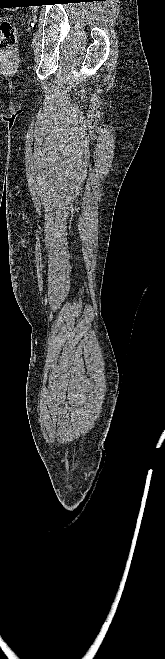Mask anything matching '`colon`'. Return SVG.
Masks as SVG:
<instances>
[{
    "label": "colon",
    "mask_w": 165,
    "mask_h": 659,
    "mask_svg": "<svg viewBox=\"0 0 165 659\" xmlns=\"http://www.w3.org/2000/svg\"><path fill=\"white\" fill-rule=\"evenodd\" d=\"M16 30L9 22L0 23V49L10 50L15 44Z\"/></svg>",
    "instance_id": "1"
}]
</instances>
